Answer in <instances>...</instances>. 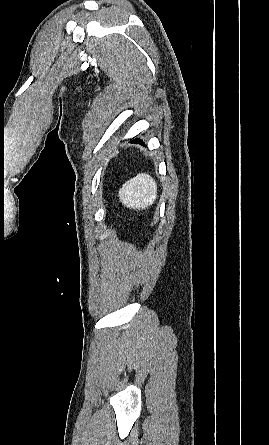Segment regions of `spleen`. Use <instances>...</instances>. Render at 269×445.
<instances>
[{
    "mask_svg": "<svg viewBox=\"0 0 269 445\" xmlns=\"http://www.w3.org/2000/svg\"><path fill=\"white\" fill-rule=\"evenodd\" d=\"M118 196L127 208L145 209L157 198V184L149 174L141 173L125 182Z\"/></svg>",
    "mask_w": 269,
    "mask_h": 445,
    "instance_id": "3e777b00",
    "label": "spleen"
}]
</instances>
